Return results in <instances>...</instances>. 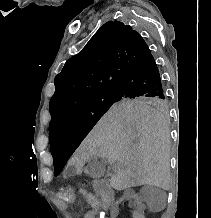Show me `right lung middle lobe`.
Listing matches in <instances>:
<instances>
[{
	"mask_svg": "<svg viewBox=\"0 0 211 218\" xmlns=\"http://www.w3.org/2000/svg\"><path fill=\"white\" fill-rule=\"evenodd\" d=\"M134 107L146 105L166 112V98L160 97H121L115 91L107 92L89 99L59 116L49 126L50 145L70 143L78 146L98 120L112 106ZM65 163H54V175L60 174Z\"/></svg>",
	"mask_w": 211,
	"mask_h": 218,
	"instance_id": "1",
	"label": "right lung middle lobe"
}]
</instances>
